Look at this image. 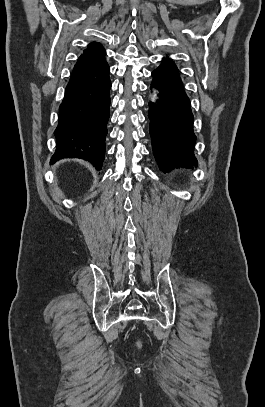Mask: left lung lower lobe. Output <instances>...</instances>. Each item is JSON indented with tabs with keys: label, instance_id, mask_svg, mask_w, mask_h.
<instances>
[{
	"label": "left lung lower lobe",
	"instance_id": "obj_1",
	"mask_svg": "<svg viewBox=\"0 0 265 407\" xmlns=\"http://www.w3.org/2000/svg\"><path fill=\"white\" fill-rule=\"evenodd\" d=\"M152 87L159 90L156 103H149L150 135L161 170L197 165L193 153L196 136L190 101L177 68L163 61L152 73Z\"/></svg>",
	"mask_w": 265,
	"mask_h": 407
}]
</instances>
